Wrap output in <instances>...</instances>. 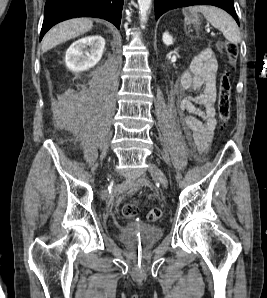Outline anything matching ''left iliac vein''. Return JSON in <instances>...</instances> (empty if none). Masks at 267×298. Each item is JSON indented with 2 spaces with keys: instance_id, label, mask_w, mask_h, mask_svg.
Returning a JSON list of instances; mask_svg holds the SVG:
<instances>
[{
  "instance_id": "obj_1",
  "label": "left iliac vein",
  "mask_w": 267,
  "mask_h": 298,
  "mask_svg": "<svg viewBox=\"0 0 267 298\" xmlns=\"http://www.w3.org/2000/svg\"><path fill=\"white\" fill-rule=\"evenodd\" d=\"M148 170L150 174L160 182V184L164 187H168V179L164 172L154 163L149 162Z\"/></svg>"
}]
</instances>
